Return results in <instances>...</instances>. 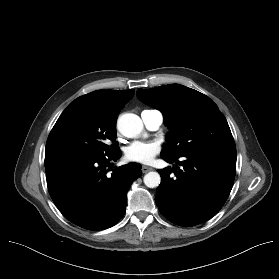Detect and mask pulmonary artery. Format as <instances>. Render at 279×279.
Here are the masks:
<instances>
[{
    "label": "pulmonary artery",
    "mask_w": 279,
    "mask_h": 279,
    "mask_svg": "<svg viewBox=\"0 0 279 279\" xmlns=\"http://www.w3.org/2000/svg\"><path fill=\"white\" fill-rule=\"evenodd\" d=\"M141 118L150 130H157L163 123V115L158 110H145L141 113Z\"/></svg>",
    "instance_id": "obj_1"
}]
</instances>
